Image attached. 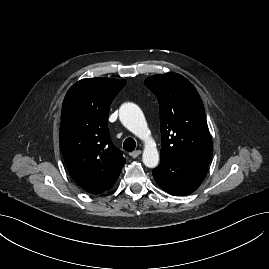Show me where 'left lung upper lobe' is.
Masks as SVG:
<instances>
[{
	"label": "left lung upper lobe",
	"instance_id": "1",
	"mask_svg": "<svg viewBox=\"0 0 269 269\" xmlns=\"http://www.w3.org/2000/svg\"><path fill=\"white\" fill-rule=\"evenodd\" d=\"M160 105L161 155H172L208 166L213 145L202 100L183 76L169 72L144 81Z\"/></svg>",
	"mask_w": 269,
	"mask_h": 269
}]
</instances>
